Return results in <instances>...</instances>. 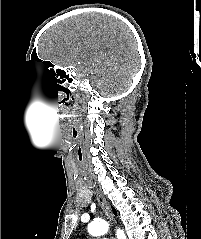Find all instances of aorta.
Returning a JSON list of instances; mask_svg holds the SVG:
<instances>
[{
    "mask_svg": "<svg viewBox=\"0 0 201 239\" xmlns=\"http://www.w3.org/2000/svg\"><path fill=\"white\" fill-rule=\"evenodd\" d=\"M88 232L92 236H102L109 230V224L105 220H95L88 225ZM117 239H126L124 232L117 230Z\"/></svg>",
    "mask_w": 201,
    "mask_h": 239,
    "instance_id": "1",
    "label": "aorta"
}]
</instances>
